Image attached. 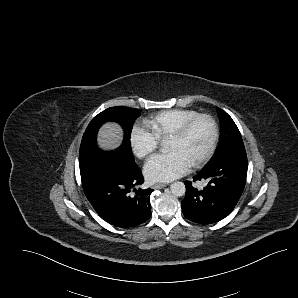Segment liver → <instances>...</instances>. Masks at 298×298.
I'll return each instance as SVG.
<instances>
[{"label":"liver","mask_w":298,"mask_h":298,"mask_svg":"<svg viewBox=\"0 0 298 298\" xmlns=\"http://www.w3.org/2000/svg\"><path fill=\"white\" fill-rule=\"evenodd\" d=\"M122 140V129L116 123H106L99 130L98 144L101 148L115 149Z\"/></svg>","instance_id":"liver-1"}]
</instances>
